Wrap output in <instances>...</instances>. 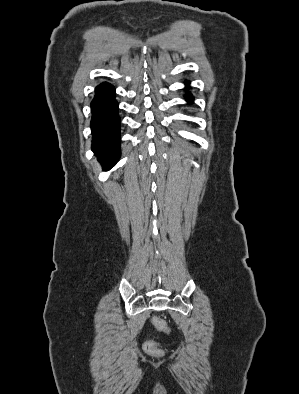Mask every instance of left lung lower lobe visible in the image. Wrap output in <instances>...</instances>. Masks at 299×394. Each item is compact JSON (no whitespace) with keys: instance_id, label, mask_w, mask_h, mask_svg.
<instances>
[{"instance_id":"0a47b994","label":"left lung lower lobe","mask_w":299,"mask_h":394,"mask_svg":"<svg viewBox=\"0 0 299 394\" xmlns=\"http://www.w3.org/2000/svg\"><path fill=\"white\" fill-rule=\"evenodd\" d=\"M186 99H187V101H191V100H193V97H192L190 94H188V95L186 96Z\"/></svg>"}]
</instances>
